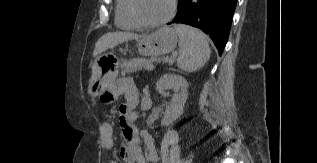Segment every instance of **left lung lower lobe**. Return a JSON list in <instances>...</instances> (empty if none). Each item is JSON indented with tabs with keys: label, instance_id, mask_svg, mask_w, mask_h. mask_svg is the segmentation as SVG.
Segmentation results:
<instances>
[{
	"label": "left lung lower lobe",
	"instance_id": "left-lung-lower-lobe-1",
	"mask_svg": "<svg viewBox=\"0 0 317 163\" xmlns=\"http://www.w3.org/2000/svg\"><path fill=\"white\" fill-rule=\"evenodd\" d=\"M237 0H178V14L172 22L200 28L223 52L230 32Z\"/></svg>",
	"mask_w": 317,
	"mask_h": 163
}]
</instances>
